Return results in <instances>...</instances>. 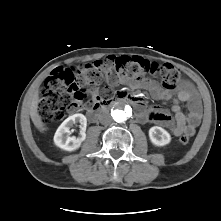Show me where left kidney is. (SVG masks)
I'll use <instances>...</instances> for the list:
<instances>
[{
	"label": "left kidney",
	"mask_w": 221,
	"mask_h": 221,
	"mask_svg": "<svg viewBox=\"0 0 221 221\" xmlns=\"http://www.w3.org/2000/svg\"><path fill=\"white\" fill-rule=\"evenodd\" d=\"M149 138L156 146H164L171 141L170 134L159 126H153L149 129Z\"/></svg>",
	"instance_id": "5707ae66"
}]
</instances>
